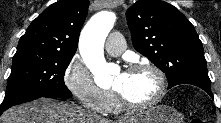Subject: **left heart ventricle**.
I'll use <instances>...</instances> for the list:
<instances>
[{
  "instance_id": "obj_1",
  "label": "left heart ventricle",
  "mask_w": 221,
  "mask_h": 123,
  "mask_svg": "<svg viewBox=\"0 0 221 123\" xmlns=\"http://www.w3.org/2000/svg\"><path fill=\"white\" fill-rule=\"evenodd\" d=\"M112 88L120 91L133 103H146L156 95L158 81L148 70L122 72L115 76Z\"/></svg>"
}]
</instances>
